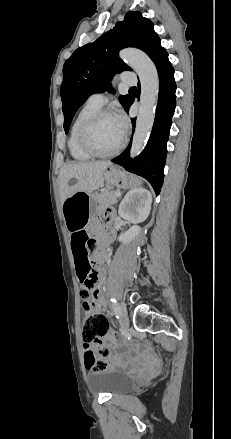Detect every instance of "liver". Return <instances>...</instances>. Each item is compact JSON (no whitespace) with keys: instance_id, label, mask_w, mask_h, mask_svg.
Returning a JSON list of instances; mask_svg holds the SVG:
<instances>
[{"instance_id":"liver-1","label":"liver","mask_w":231,"mask_h":439,"mask_svg":"<svg viewBox=\"0 0 231 439\" xmlns=\"http://www.w3.org/2000/svg\"><path fill=\"white\" fill-rule=\"evenodd\" d=\"M112 166L109 161L70 162L64 165L59 174V193L61 204L75 192H93L104 182V171ZM76 179L69 185L70 179Z\"/></svg>"}]
</instances>
